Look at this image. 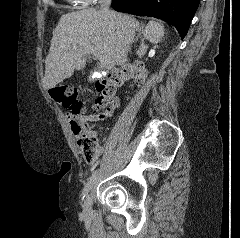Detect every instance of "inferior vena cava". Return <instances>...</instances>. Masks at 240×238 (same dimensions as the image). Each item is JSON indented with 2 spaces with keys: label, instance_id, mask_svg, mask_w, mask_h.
<instances>
[{
  "label": "inferior vena cava",
  "instance_id": "602c4592",
  "mask_svg": "<svg viewBox=\"0 0 240 238\" xmlns=\"http://www.w3.org/2000/svg\"><path fill=\"white\" fill-rule=\"evenodd\" d=\"M112 0H100V12L107 16H112V12L109 10ZM135 31H132L128 36V41L131 43L134 39Z\"/></svg>",
  "mask_w": 240,
  "mask_h": 238
}]
</instances>
